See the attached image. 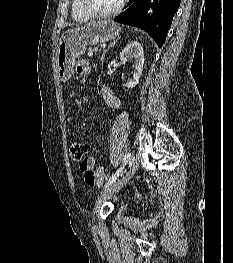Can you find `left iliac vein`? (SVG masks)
Listing matches in <instances>:
<instances>
[{"mask_svg":"<svg viewBox=\"0 0 233 263\" xmlns=\"http://www.w3.org/2000/svg\"><path fill=\"white\" fill-rule=\"evenodd\" d=\"M139 161L136 156H133L130 161L129 169L127 170L126 174L115 181L112 185L106 188L101 194L98 196L96 200V207H99L103 202L107 201L111 198L114 194L118 193L124 185L133 177V175L138 170Z\"/></svg>","mask_w":233,"mask_h":263,"instance_id":"4c4485c4","label":"left iliac vein"}]
</instances>
